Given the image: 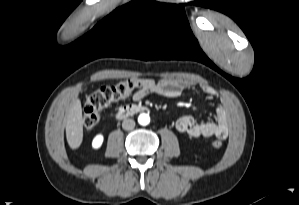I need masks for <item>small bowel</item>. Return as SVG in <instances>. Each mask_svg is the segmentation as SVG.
I'll return each mask as SVG.
<instances>
[{"label":"small bowel","mask_w":299,"mask_h":205,"mask_svg":"<svg viewBox=\"0 0 299 205\" xmlns=\"http://www.w3.org/2000/svg\"><path fill=\"white\" fill-rule=\"evenodd\" d=\"M141 86L132 95L134 101H141L150 94L160 95L166 98L179 97L186 89L194 86V83L185 78H163L156 82L150 78L140 79ZM204 96L212 98L215 91L206 85L200 87ZM175 127L178 132L192 138L217 137L225 139L229 133L230 118L226 105L221 102L215 109V121L200 122L198 117L187 115L180 117Z\"/></svg>","instance_id":"c3829d8e"}]
</instances>
